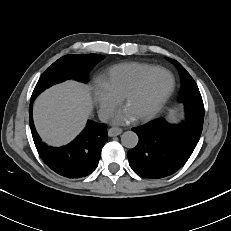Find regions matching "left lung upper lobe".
<instances>
[{"label": "left lung upper lobe", "mask_w": 231, "mask_h": 231, "mask_svg": "<svg viewBox=\"0 0 231 231\" xmlns=\"http://www.w3.org/2000/svg\"><path fill=\"white\" fill-rule=\"evenodd\" d=\"M179 69L182 78V85L179 95V102L185 105L186 115H197L204 117V105L200 91L194 79L176 60H171Z\"/></svg>", "instance_id": "obj_1"}]
</instances>
